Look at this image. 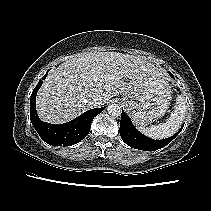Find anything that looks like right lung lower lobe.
I'll return each instance as SVG.
<instances>
[{"mask_svg":"<svg viewBox=\"0 0 211 211\" xmlns=\"http://www.w3.org/2000/svg\"><path fill=\"white\" fill-rule=\"evenodd\" d=\"M47 75V73H46ZM42 77V80L46 78ZM40 80L30 98V119L43 141L53 146H71L83 140L89 133L91 122L106 106L86 111L78 118L64 124L54 125L41 121L36 112V94L42 85Z\"/></svg>","mask_w":211,"mask_h":211,"instance_id":"obj_1","label":"right lung lower lobe"}]
</instances>
